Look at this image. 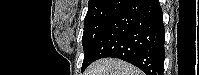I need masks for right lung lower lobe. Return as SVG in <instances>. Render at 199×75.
<instances>
[{
  "label": "right lung lower lobe",
  "instance_id": "1",
  "mask_svg": "<svg viewBox=\"0 0 199 75\" xmlns=\"http://www.w3.org/2000/svg\"><path fill=\"white\" fill-rule=\"evenodd\" d=\"M164 39L159 1L128 0L94 46L88 65L114 57L137 66L146 75H163Z\"/></svg>",
  "mask_w": 199,
  "mask_h": 75
}]
</instances>
